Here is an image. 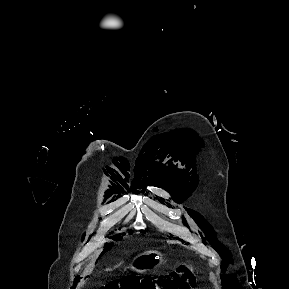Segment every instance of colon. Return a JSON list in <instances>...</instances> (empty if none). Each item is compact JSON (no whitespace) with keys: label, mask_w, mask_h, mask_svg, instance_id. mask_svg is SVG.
I'll use <instances>...</instances> for the list:
<instances>
[{"label":"colon","mask_w":289,"mask_h":289,"mask_svg":"<svg viewBox=\"0 0 289 289\" xmlns=\"http://www.w3.org/2000/svg\"><path fill=\"white\" fill-rule=\"evenodd\" d=\"M197 275L185 266H180L171 274L162 276L158 281L149 278L126 277L112 281L100 289H191L196 284Z\"/></svg>","instance_id":"obj_1"}]
</instances>
